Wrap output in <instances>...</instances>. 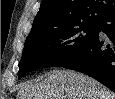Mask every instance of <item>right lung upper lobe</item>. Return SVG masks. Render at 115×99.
Listing matches in <instances>:
<instances>
[{
	"label": "right lung upper lobe",
	"mask_w": 115,
	"mask_h": 99,
	"mask_svg": "<svg viewBox=\"0 0 115 99\" xmlns=\"http://www.w3.org/2000/svg\"><path fill=\"white\" fill-rule=\"evenodd\" d=\"M115 12V0H42L28 37L78 23H100Z\"/></svg>",
	"instance_id": "cb5924a9"
}]
</instances>
